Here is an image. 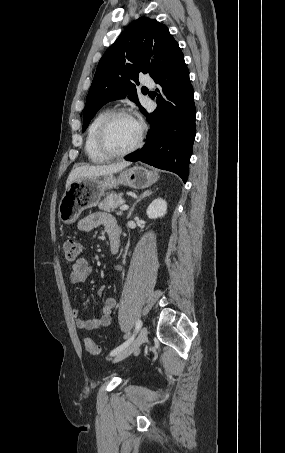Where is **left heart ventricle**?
Instances as JSON below:
<instances>
[{
    "label": "left heart ventricle",
    "instance_id": "b2bd125f",
    "mask_svg": "<svg viewBox=\"0 0 285 453\" xmlns=\"http://www.w3.org/2000/svg\"><path fill=\"white\" fill-rule=\"evenodd\" d=\"M139 124L130 117H119L113 121L108 130V144L115 151L131 147L139 135Z\"/></svg>",
    "mask_w": 285,
    "mask_h": 453
}]
</instances>
